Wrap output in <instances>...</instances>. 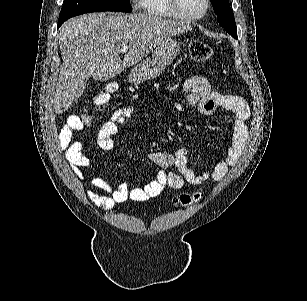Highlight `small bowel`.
<instances>
[{
    "label": "small bowel",
    "mask_w": 307,
    "mask_h": 301,
    "mask_svg": "<svg viewBox=\"0 0 307 301\" xmlns=\"http://www.w3.org/2000/svg\"><path fill=\"white\" fill-rule=\"evenodd\" d=\"M188 96L185 101L176 105L178 111L186 106L196 107L204 114H211L217 107H222L233 113V134L230 147L225 157L218 162L210 172L195 173L187 165L188 150L179 148L174 155L153 152L150 159L161 169L155 174L152 181L141 188L130 189L126 184L112 186L102 178L90 175L91 189L86 191L88 199L103 210H111L115 204L128 199L133 201H146L156 197L166 188L181 189L185 184L201 186L208 180L220 181L229 168L240 159L249 134L250 108L244 98L238 95L225 94L214 91L208 80L202 76L190 77L184 84ZM132 106H122L114 111L111 118L100 128L97 135V144L103 150H110L114 146V136L128 118L132 116ZM82 128L78 116L69 117L59 133V145L69 165L79 176L82 169L90 167L89 158L83 153V145L74 140V135ZM176 167L179 173L168 172L170 167Z\"/></svg>",
    "instance_id": "1"
}]
</instances>
